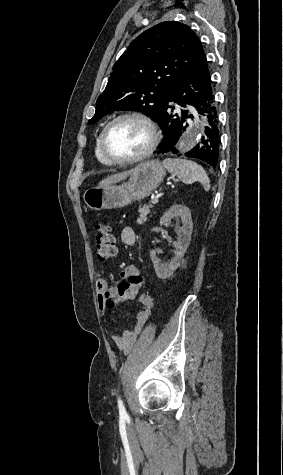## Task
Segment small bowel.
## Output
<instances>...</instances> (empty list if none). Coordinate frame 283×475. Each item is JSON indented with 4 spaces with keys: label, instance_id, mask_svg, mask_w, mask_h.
Returning <instances> with one entry per match:
<instances>
[{
    "label": "small bowel",
    "instance_id": "obj_1",
    "mask_svg": "<svg viewBox=\"0 0 283 475\" xmlns=\"http://www.w3.org/2000/svg\"><path fill=\"white\" fill-rule=\"evenodd\" d=\"M121 242L125 246H133L136 243V234L131 226H125L122 229ZM134 268L135 266L132 265L126 266L121 271V277L127 279L128 274H134ZM104 293H117V289L116 286L108 285V283L98 274V278L95 282V294L97 305L101 313H105L107 309V307H103L102 304ZM139 302L141 307L135 316L134 326L131 330H123L121 332L106 330L107 335L112 338L118 349L123 354H128L131 351L136 341V337L145 326L153 307V299L148 293H142L139 297Z\"/></svg>",
    "mask_w": 283,
    "mask_h": 475
}]
</instances>
